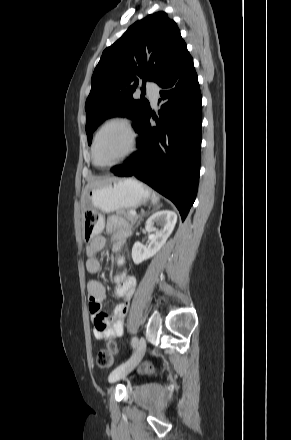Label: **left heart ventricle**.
<instances>
[{"instance_id": "obj_1", "label": "left heart ventricle", "mask_w": 291, "mask_h": 440, "mask_svg": "<svg viewBox=\"0 0 291 440\" xmlns=\"http://www.w3.org/2000/svg\"><path fill=\"white\" fill-rule=\"evenodd\" d=\"M128 148V135L119 126H112L101 133L95 149L98 164H107L120 159Z\"/></svg>"}]
</instances>
